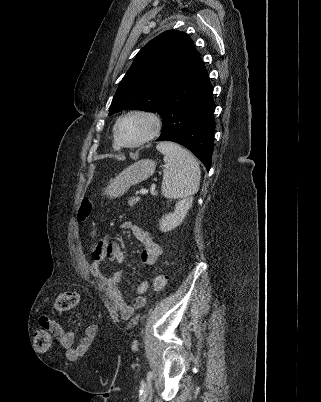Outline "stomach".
<instances>
[{
    "mask_svg": "<svg viewBox=\"0 0 321 402\" xmlns=\"http://www.w3.org/2000/svg\"><path fill=\"white\" fill-rule=\"evenodd\" d=\"M156 163L151 159H142L111 179L105 188L104 195L116 198L123 195L130 186L149 178L155 171Z\"/></svg>",
    "mask_w": 321,
    "mask_h": 402,
    "instance_id": "0dacf381",
    "label": "stomach"
}]
</instances>
